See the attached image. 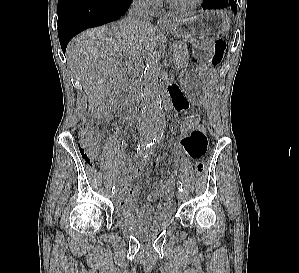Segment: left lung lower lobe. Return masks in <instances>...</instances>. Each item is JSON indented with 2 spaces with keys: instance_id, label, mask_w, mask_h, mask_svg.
I'll list each match as a JSON object with an SVG mask.
<instances>
[{
  "instance_id": "left-lung-lower-lobe-1",
  "label": "left lung lower lobe",
  "mask_w": 299,
  "mask_h": 273,
  "mask_svg": "<svg viewBox=\"0 0 299 273\" xmlns=\"http://www.w3.org/2000/svg\"><path fill=\"white\" fill-rule=\"evenodd\" d=\"M203 9H221L230 7L235 13L237 12L236 0H204Z\"/></svg>"
}]
</instances>
